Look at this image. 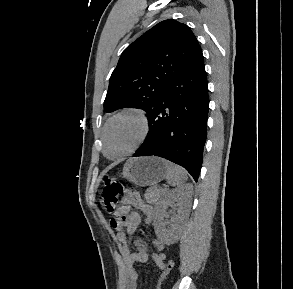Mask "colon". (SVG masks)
<instances>
[{
  "instance_id": "1",
  "label": "colon",
  "mask_w": 293,
  "mask_h": 289,
  "mask_svg": "<svg viewBox=\"0 0 293 289\" xmlns=\"http://www.w3.org/2000/svg\"><path fill=\"white\" fill-rule=\"evenodd\" d=\"M122 190H123L122 185L115 179L111 177H106L104 179V187L100 193L99 201L102 208L107 213L112 214L115 212L116 205L118 202V197L121 194ZM111 225L115 230H117L122 226V221L116 218H112ZM174 264H175L174 259L173 258L169 259V261L163 268L164 273H167L168 271H170L173 268Z\"/></svg>"
}]
</instances>
